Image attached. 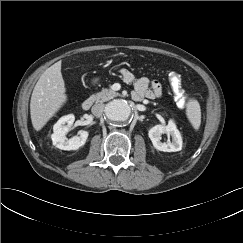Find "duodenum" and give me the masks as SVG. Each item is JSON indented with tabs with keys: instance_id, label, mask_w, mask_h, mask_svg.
I'll return each instance as SVG.
<instances>
[{
	"instance_id": "duodenum-1",
	"label": "duodenum",
	"mask_w": 243,
	"mask_h": 243,
	"mask_svg": "<svg viewBox=\"0 0 243 243\" xmlns=\"http://www.w3.org/2000/svg\"><path fill=\"white\" fill-rule=\"evenodd\" d=\"M93 105V100L91 98H86L83 102H82V108L84 110H89L91 108V106Z\"/></svg>"
}]
</instances>
